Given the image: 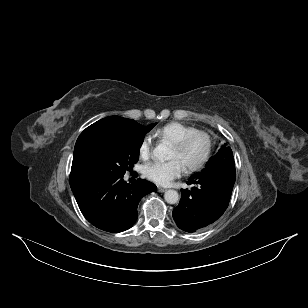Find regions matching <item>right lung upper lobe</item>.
Wrapping results in <instances>:
<instances>
[{"label": "right lung upper lobe", "mask_w": 308, "mask_h": 308, "mask_svg": "<svg viewBox=\"0 0 308 308\" xmlns=\"http://www.w3.org/2000/svg\"><path fill=\"white\" fill-rule=\"evenodd\" d=\"M136 121L118 116L103 118L87 127L78 137L74 148L73 162L70 174V186L74 188L90 177L86 170V154L90 144L105 135L134 130Z\"/></svg>", "instance_id": "1"}]
</instances>
